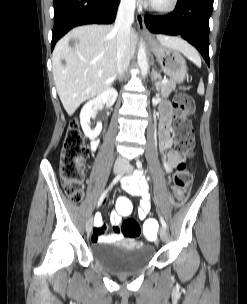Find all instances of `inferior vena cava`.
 I'll return each instance as SVG.
<instances>
[{
    "instance_id": "1",
    "label": "inferior vena cava",
    "mask_w": 247,
    "mask_h": 304,
    "mask_svg": "<svg viewBox=\"0 0 247 304\" xmlns=\"http://www.w3.org/2000/svg\"><path fill=\"white\" fill-rule=\"evenodd\" d=\"M135 0H122L118 9L114 30L117 32V73L124 75L131 57L130 29L134 21ZM116 165L124 167L127 161L119 157Z\"/></svg>"
}]
</instances>
